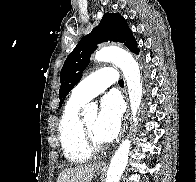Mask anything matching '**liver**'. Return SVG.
<instances>
[{
  "instance_id": "liver-1",
  "label": "liver",
  "mask_w": 196,
  "mask_h": 182,
  "mask_svg": "<svg viewBox=\"0 0 196 182\" xmlns=\"http://www.w3.org/2000/svg\"><path fill=\"white\" fill-rule=\"evenodd\" d=\"M95 166V163H91L64 169L56 182H91Z\"/></svg>"
}]
</instances>
